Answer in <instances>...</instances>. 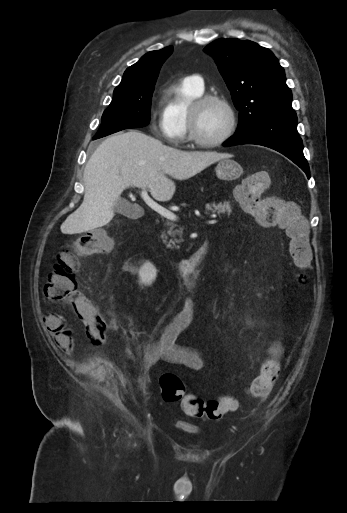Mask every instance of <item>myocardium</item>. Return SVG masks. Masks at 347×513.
Returning a JSON list of instances; mask_svg holds the SVG:
<instances>
[{
    "label": "myocardium",
    "mask_w": 347,
    "mask_h": 513,
    "mask_svg": "<svg viewBox=\"0 0 347 513\" xmlns=\"http://www.w3.org/2000/svg\"><path fill=\"white\" fill-rule=\"evenodd\" d=\"M215 102L222 105L228 113V126L222 136L215 140H205L197 132L196 113L204 105ZM237 125L236 112L232 104L223 96L217 94H202L195 98L189 105L187 113V128L189 139L198 146L214 148L225 143L235 132Z\"/></svg>",
    "instance_id": "f54148a6"
}]
</instances>
